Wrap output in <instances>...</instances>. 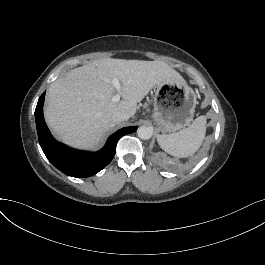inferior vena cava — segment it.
<instances>
[{
  "label": "inferior vena cava",
  "mask_w": 265,
  "mask_h": 265,
  "mask_svg": "<svg viewBox=\"0 0 265 265\" xmlns=\"http://www.w3.org/2000/svg\"><path fill=\"white\" fill-rule=\"evenodd\" d=\"M130 118L129 113L126 111H117L112 114V119L116 123H120L121 121L128 120Z\"/></svg>",
  "instance_id": "inferior-vena-cava-1"
}]
</instances>
